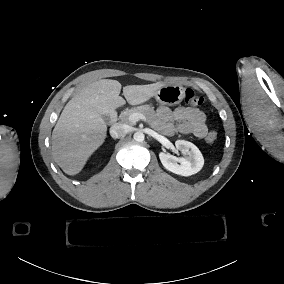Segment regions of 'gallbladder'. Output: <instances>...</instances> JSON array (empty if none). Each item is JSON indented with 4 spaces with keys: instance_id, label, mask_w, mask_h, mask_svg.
<instances>
[{
    "instance_id": "1",
    "label": "gallbladder",
    "mask_w": 284,
    "mask_h": 284,
    "mask_svg": "<svg viewBox=\"0 0 284 284\" xmlns=\"http://www.w3.org/2000/svg\"><path fill=\"white\" fill-rule=\"evenodd\" d=\"M105 122H109L110 121V117L109 116H103Z\"/></svg>"
}]
</instances>
